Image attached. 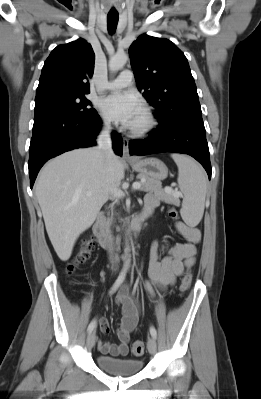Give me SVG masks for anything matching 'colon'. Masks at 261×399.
Here are the masks:
<instances>
[{
  "label": "colon",
  "mask_w": 261,
  "mask_h": 399,
  "mask_svg": "<svg viewBox=\"0 0 261 399\" xmlns=\"http://www.w3.org/2000/svg\"><path fill=\"white\" fill-rule=\"evenodd\" d=\"M168 215L172 219L178 218L177 211L172 207L168 208ZM93 251H94L93 241L91 239L85 241L83 247L78 252L76 258L67 266L68 274H72L79 265L87 262L91 258ZM191 282H192V274L191 272L188 271L184 274L182 278V282L180 285L181 292L183 293L186 292L189 289ZM144 350H145V344L143 341L140 340L135 341L131 346V353L134 356L142 355L144 353Z\"/></svg>",
  "instance_id": "obj_1"
}]
</instances>
